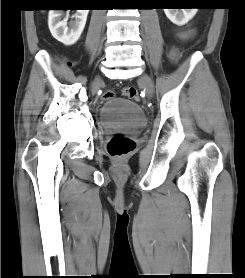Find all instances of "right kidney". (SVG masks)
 <instances>
[{
	"label": "right kidney",
	"mask_w": 245,
	"mask_h": 278,
	"mask_svg": "<svg viewBox=\"0 0 245 278\" xmlns=\"http://www.w3.org/2000/svg\"><path fill=\"white\" fill-rule=\"evenodd\" d=\"M89 10H77L75 20L67 24L68 15L62 19L63 10H50L48 26L52 36L64 45H73L80 38Z\"/></svg>",
	"instance_id": "obj_1"
}]
</instances>
